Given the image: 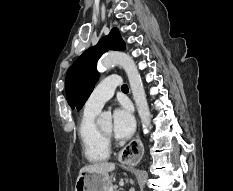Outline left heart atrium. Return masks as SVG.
Returning <instances> with one entry per match:
<instances>
[{
  "label": "left heart atrium",
  "mask_w": 233,
  "mask_h": 191,
  "mask_svg": "<svg viewBox=\"0 0 233 191\" xmlns=\"http://www.w3.org/2000/svg\"><path fill=\"white\" fill-rule=\"evenodd\" d=\"M135 130V119L129 106L123 105L114 110L112 131L116 138L126 139Z\"/></svg>",
  "instance_id": "39dd6f15"
}]
</instances>
